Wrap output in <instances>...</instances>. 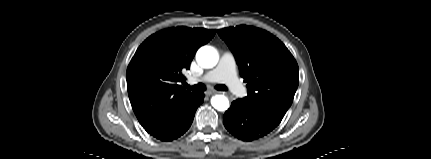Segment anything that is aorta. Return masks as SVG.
I'll return each mask as SVG.
<instances>
[{"label": "aorta", "mask_w": 431, "mask_h": 159, "mask_svg": "<svg viewBox=\"0 0 431 159\" xmlns=\"http://www.w3.org/2000/svg\"><path fill=\"white\" fill-rule=\"evenodd\" d=\"M197 63L203 68L216 66L219 60L218 53L211 46H203L196 53ZM211 105L218 111H225L229 108V100L224 95H215L211 99Z\"/></svg>", "instance_id": "obj_1"}]
</instances>
